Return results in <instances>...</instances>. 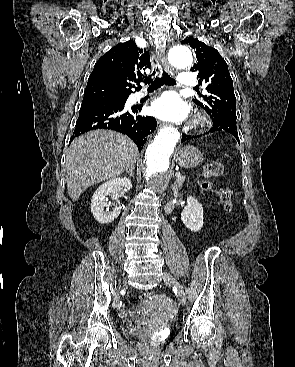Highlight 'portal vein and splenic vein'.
Segmentation results:
<instances>
[{
	"label": "portal vein and splenic vein",
	"mask_w": 295,
	"mask_h": 367,
	"mask_svg": "<svg viewBox=\"0 0 295 367\" xmlns=\"http://www.w3.org/2000/svg\"><path fill=\"white\" fill-rule=\"evenodd\" d=\"M180 175H181V174H180V172H176V173H175V176H176V177H179Z\"/></svg>",
	"instance_id": "obj_1"
}]
</instances>
